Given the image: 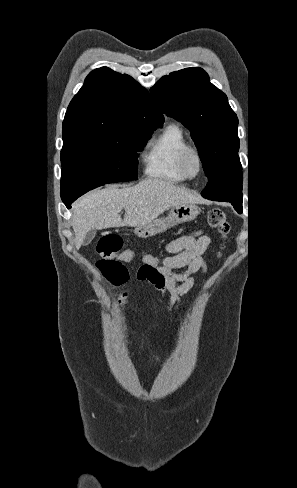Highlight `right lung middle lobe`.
<instances>
[{
	"instance_id": "1",
	"label": "right lung middle lobe",
	"mask_w": 297,
	"mask_h": 488,
	"mask_svg": "<svg viewBox=\"0 0 297 488\" xmlns=\"http://www.w3.org/2000/svg\"><path fill=\"white\" fill-rule=\"evenodd\" d=\"M156 127L142 125L123 134L63 141L60 193L64 204L106 183L137 179L138 152Z\"/></svg>"
}]
</instances>
